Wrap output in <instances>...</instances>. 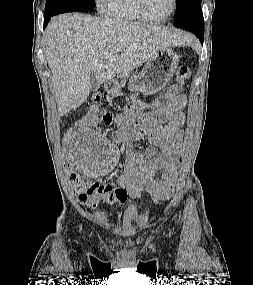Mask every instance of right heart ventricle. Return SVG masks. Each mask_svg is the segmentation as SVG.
<instances>
[{"instance_id":"right-heart-ventricle-1","label":"right heart ventricle","mask_w":253,"mask_h":285,"mask_svg":"<svg viewBox=\"0 0 253 285\" xmlns=\"http://www.w3.org/2000/svg\"><path fill=\"white\" fill-rule=\"evenodd\" d=\"M104 10L108 16L128 22L147 21L138 9L137 0H103Z\"/></svg>"}]
</instances>
